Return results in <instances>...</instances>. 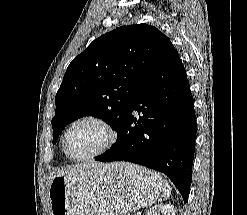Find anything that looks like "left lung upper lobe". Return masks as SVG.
I'll list each match as a JSON object with an SVG mask.
<instances>
[{
	"mask_svg": "<svg viewBox=\"0 0 247 215\" xmlns=\"http://www.w3.org/2000/svg\"><path fill=\"white\" fill-rule=\"evenodd\" d=\"M170 43L146 24L122 26L94 40L70 63L56 94L53 141L66 125L85 115L102 118L117 131L136 90Z\"/></svg>",
	"mask_w": 247,
	"mask_h": 215,
	"instance_id": "obj_1",
	"label": "left lung upper lobe"
}]
</instances>
